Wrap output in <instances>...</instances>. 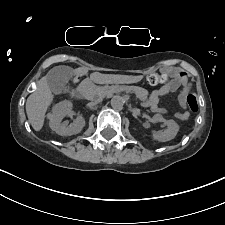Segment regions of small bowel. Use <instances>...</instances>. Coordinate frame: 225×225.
Returning a JSON list of instances; mask_svg holds the SVG:
<instances>
[{
    "mask_svg": "<svg viewBox=\"0 0 225 225\" xmlns=\"http://www.w3.org/2000/svg\"><path fill=\"white\" fill-rule=\"evenodd\" d=\"M170 72L176 75L178 79L154 91L150 95L147 104L151 108V110L158 113H164L165 109L160 106L161 98L165 95L178 91V99L180 105L183 108V111L176 113V118L180 121H185L189 118V113L186 111L185 108L186 99L191 91L192 85L185 75L177 74V72L174 70H170Z\"/></svg>",
    "mask_w": 225,
    "mask_h": 225,
    "instance_id": "c3829d8e",
    "label": "small bowel"
}]
</instances>
